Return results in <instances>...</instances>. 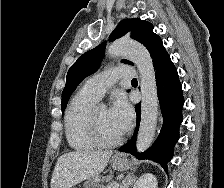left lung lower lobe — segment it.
<instances>
[{
  "label": "left lung lower lobe",
  "mask_w": 224,
  "mask_h": 188,
  "mask_svg": "<svg viewBox=\"0 0 224 188\" xmlns=\"http://www.w3.org/2000/svg\"><path fill=\"white\" fill-rule=\"evenodd\" d=\"M158 98L163 115V126L155 143L144 153H137L136 136L140 123V104L135 106L137 127L133 138L119 150L131 153L139 159H150L159 163L165 170L167 163L173 156V148L179 138V124H181L182 107L184 104L182 85L179 81L177 69L170 56H166L155 67Z\"/></svg>",
  "instance_id": "left-lung-lower-lobe-1"
}]
</instances>
